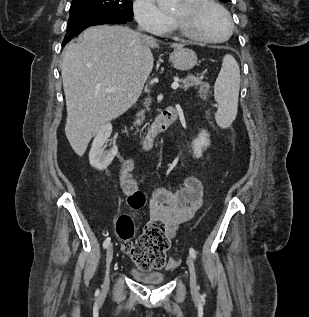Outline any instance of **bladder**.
Masks as SVG:
<instances>
[{"mask_svg":"<svg viewBox=\"0 0 309 317\" xmlns=\"http://www.w3.org/2000/svg\"><path fill=\"white\" fill-rule=\"evenodd\" d=\"M130 275L133 279L143 284L157 285L165 281L164 274L158 271H141L136 268H131Z\"/></svg>","mask_w":309,"mask_h":317,"instance_id":"bladder-1","label":"bladder"}]
</instances>
